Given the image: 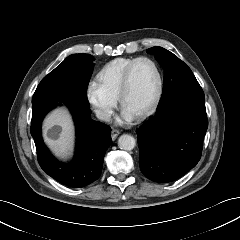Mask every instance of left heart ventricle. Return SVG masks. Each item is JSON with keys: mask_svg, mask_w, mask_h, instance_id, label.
Segmentation results:
<instances>
[{"mask_svg": "<svg viewBox=\"0 0 240 240\" xmlns=\"http://www.w3.org/2000/svg\"><path fill=\"white\" fill-rule=\"evenodd\" d=\"M157 75L153 65L141 61L134 67L130 90L126 96L122 109L133 117L139 115L152 102L157 91Z\"/></svg>", "mask_w": 240, "mask_h": 240, "instance_id": "left-heart-ventricle-1", "label": "left heart ventricle"}]
</instances>
